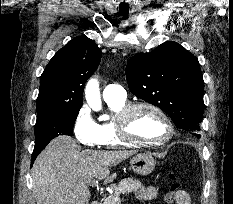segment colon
Instances as JSON below:
<instances>
[{
	"mask_svg": "<svg viewBox=\"0 0 233 204\" xmlns=\"http://www.w3.org/2000/svg\"><path fill=\"white\" fill-rule=\"evenodd\" d=\"M169 178L172 181V184H171V187H170L168 194L166 195V199L167 200H174L178 196V194L180 192H182L183 190L181 189L180 184L175 181L174 174L170 173Z\"/></svg>",
	"mask_w": 233,
	"mask_h": 204,
	"instance_id": "obj_1",
	"label": "colon"
}]
</instances>
